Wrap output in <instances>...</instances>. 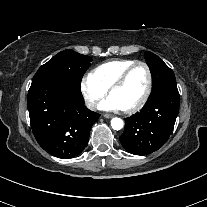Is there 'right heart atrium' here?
I'll list each match as a JSON object with an SVG mask.
<instances>
[{"mask_svg":"<svg viewBox=\"0 0 207 207\" xmlns=\"http://www.w3.org/2000/svg\"><path fill=\"white\" fill-rule=\"evenodd\" d=\"M80 91L90 109H96L99 102L106 96L107 90L100 86L88 75L80 82Z\"/></svg>","mask_w":207,"mask_h":207,"instance_id":"1","label":"right heart atrium"}]
</instances>
